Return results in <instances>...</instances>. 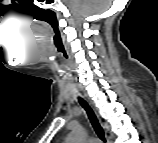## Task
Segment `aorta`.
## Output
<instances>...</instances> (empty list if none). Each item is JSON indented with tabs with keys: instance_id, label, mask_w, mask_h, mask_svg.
Segmentation results:
<instances>
[{
	"instance_id": "762f6f07",
	"label": "aorta",
	"mask_w": 158,
	"mask_h": 143,
	"mask_svg": "<svg viewBox=\"0 0 158 143\" xmlns=\"http://www.w3.org/2000/svg\"><path fill=\"white\" fill-rule=\"evenodd\" d=\"M83 138L82 132H75L72 136L73 141H81Z\"/></svg>"
}]
</instances>
